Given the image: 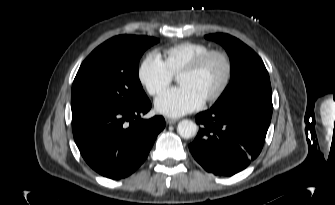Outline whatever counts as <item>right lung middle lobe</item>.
I'll return each instance as SVG.
<instances>
[{
	"label": "right lung middle lobe",
	"instance_id": "obj_1",
	"mask_svg": "<svg viewBox=\"0 0 335 205\" xmlns=\"http://www.w3.org/2000/svg\"><path fill=\"white\" fill-rule=\"evenodd\" d=\"M159 42L148 36L119 35L98 46L81 64L72 85V111L88 107H122L146 94L138 75L144 51Z\"/></svg>",
	"mask_w": 335,
	"mask_h": 205
}]
</instances>
